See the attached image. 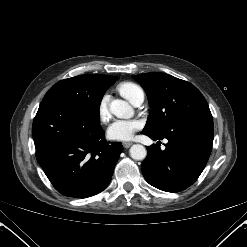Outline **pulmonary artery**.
Listing matches in <instances>:
<instances>
[{
    "label": "pulmonary artery",
    "instance_id": "obj_1",
    "mask_svg": "<svg viewBox=\"0 0 247 247\" xmlns=\"http://www.w3.org/2000/svg\"><path fill=\"white\" fill-rule=\"evenodd\" d=\"M144 101V94L140 93L133 101L132 104L134 106H140Z\"/></svg>",
    "mask_w": 247,
    "mask_h": 247
}]
</instances>
